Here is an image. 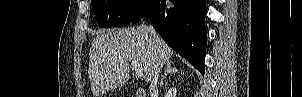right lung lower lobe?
<instances>
[{
    "label": "right lung lower lobe",
    "instance_id": "98d812e1",
    "mask_svg": "<svg viewBox=\"0 0 302 97\" xmlns=\"http://www.w3.org/2000/svg\"><path fill=\"white\" fill-rule=\"evenodd\" d=\"M206 14V0H149L131 23L149 18L163 39L203 75Z\"/></svg>",
    "mask_w": 302,
    "mask_h": 97
}]
</instances>
